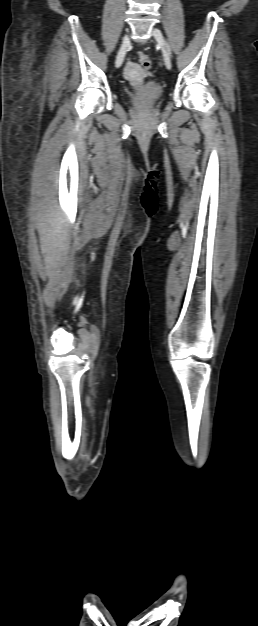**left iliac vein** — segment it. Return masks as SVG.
<instances>
[{
    "instance_id": "1",
    "label": "left iliac vein",
    "mask_w": 258,
    "mask_h": 626,
    "mask_svg": "<svg viewBox=\"0 0 258 626\" xmlns=\"http://www.w3.org/2000/svg\"><path fill=\"white\" fill-rule=\"evenodd\" d=\"M152 32H153L154 38L156 39V41L158 42V44L162 48L165 66L167 67V69L170 70L171 67H172V63H171L170 55H169V53H168V51L166 50V47H165V40H164L163 34L157 28H154Z\"/></svg>"
}]
</instances>
